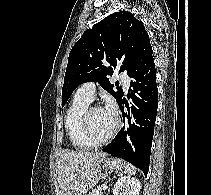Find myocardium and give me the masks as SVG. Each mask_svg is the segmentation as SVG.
<instances>
[{
    "label": "myocardium",
    "instance_id": "obj_1",
    "mask_svg": "<svg viewBox=\"0 0 211 195\" xmlns=\"http://www.w3.org/2000/svg\"><path fill=\"white\" fill-rule=\"evenodd\" d=\"M97 109H104V108L99 105H89L84 110L82 117H81L82 135L85 138V140L93 147L102 146V145L108 143L115 136V134L117 133V131L120 127V124H121L119 116L117 114L113 113L115 123H114V127L111 130V132L102 140L94 139L90 132V117H91V113Z\"/></svg>",
    "mask_w": 211,
    "mask_h": 195
}]
</instances>
